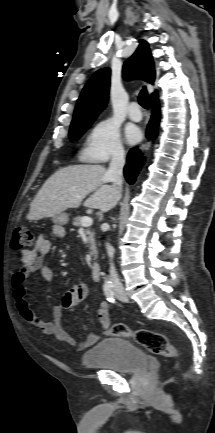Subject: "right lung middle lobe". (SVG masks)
<instances>
[{
    "label": "right lung middle lobe",
    "mask_w": 215,
    "mask_h": 433,
    "mask_svg": "<svg viewBox=\"0 0 215 433\" xmlns=\"http://www.w3.org/2000/svg\"><path fill=\"white\" fill-rule=\"evenodd\" d=\"M93 121L94 120L71 124L69 132V137L71 140L80 138V136L90 127Z\"/></svg>",
    "instance_id": "dd1d6c3e"
}]
</instances>
